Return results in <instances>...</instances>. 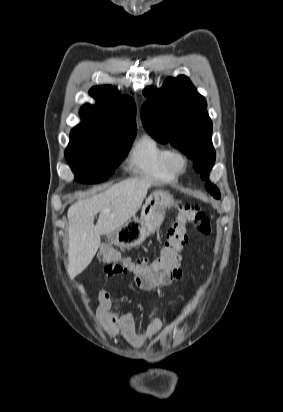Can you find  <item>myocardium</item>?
<instances>
[{
  "instance_id": "1",
  "label": "myocardium",
  "mask_w": 283,
  "mask_h": 412,
  "mask_svg": "<svg viewBox=\"0 0 283 412\" xmlns=\"http://www.w3.org/2000/svg\"><path fill=\"white\" fill-rule=\"evenodd\" d=\"M166 165L174 175L185 173L189 166L188 156L179 149H170L166 157Z\"/></svg>"
}]
</instances>
